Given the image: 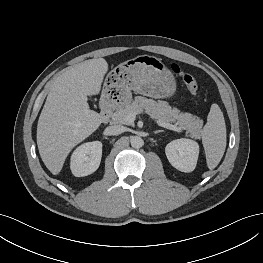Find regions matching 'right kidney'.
Masks as SVG:
<instances>
[{"instance_id":"right-kidney-1","label":"right kidney","mask_w":263,"mask_h":263,"mask_svg":"<svg viewBox=\"0 0 263 263\" xmlns=\"http://www.w3.org/2000/svg\"><path fill=\"white\" fill-rule=\"evenodd\" d=\"M102 143L88 142L80 145L72 154L70 168L74 176L83 177L95 172L101 162Z\"/></svg>"}]
</instances>
